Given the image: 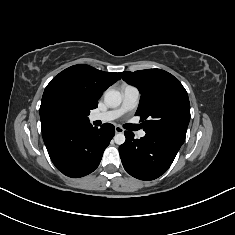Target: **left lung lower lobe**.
<instances>
[{
	"label": "left lung lower lobe",
	"instance_id": "obj_1",
	"mask_svg": "<svg viewBox=\"0 0 235 235\" xmlns=\"http://www.w3.org/2000/svg\"><path fill=\"white\" fill-rule=\"evenodd\" d=\"M126 141L119 147L124 169L140 180H153L164 174L172 164L182 143L156 134L134 139V134L124 132Z\"/></svg>",
	"mask_w": 235,
	"mask_h": 235
}]
</instances>
